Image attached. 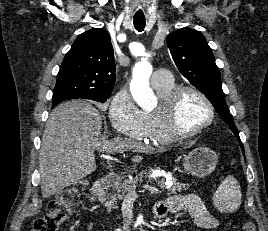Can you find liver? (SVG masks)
I'll use <instances>...</instances> for the list:
<instances>
[{
    "label": "liver",
    "instance_id": "obj_1",
    "mask_svg": "<svg viewBox=\"0 0 268 231\" xmlns=\"http://www.w3.org/2000/svg\"><path fill=\"white\" fill-rule=\"evenodd\" d=\"M102 120L103 115L87 101H68L52 110L39 154L43 198H49L94 172V150L108 154L155 151L153 147L128 138L106 140L101 136ZM132 161L139 163L142 157L136 155Z\"/></svg>",
    "mask_w": 268,
    "mask_h": 231
}]
</instances>
